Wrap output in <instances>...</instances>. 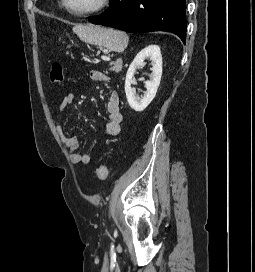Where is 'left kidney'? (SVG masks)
<instances>
[{
    "mask_svg": "<svg viewBox=\"0 0 255 272\" xmlns=\"http://www.w3.org/2000/svg\"><path fill=\"white\" fill-rule=\"evenodd\" d=\"M152 61L150 80L145 82L147 91L142 98L135 95V89L131 87L135 80L133 79L136 69L144 66L145 60ZM162 76V56L158 45H149L141 50L129 66L125 79V93L127 101L132 109L137 112L143 111L155 98L157 89Z\"/></svg>",
    "mask_w": 255,
    "mask_h": 272,
    "instance_id": "5707ae66",
    "label": "left kidney"
}]
</instances>
